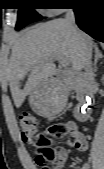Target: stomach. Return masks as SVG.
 Returning a JSON list of instances; mask_svg holds the SVG:
<instances>
[{"mask_svg": "<svg viewBox=\"0 0 104 169\" xmlns=\"http://www.w3.org/2000/svg\"><path fill=\"white\" fill-rule=\"evenodd\" d=\"M29 103L34 112L42 116H52L60 112L65 105L59 88L47 81L39 85L29 97Z\"/></svg>", "mask_w": 104, "mask_h": 169, "instance_id": "0dacf381", "label": "stomach"}]
</instances>
